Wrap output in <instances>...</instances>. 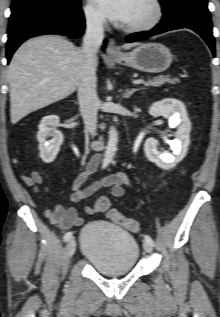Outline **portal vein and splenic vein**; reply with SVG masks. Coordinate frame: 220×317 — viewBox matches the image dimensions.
Here are the masks:
<instances>
[{
    "instance_id": "obj_1",
    "label": "portal vein and splenic vein",
    "mask_w": 220,
    "mask_h": 317,
    "mask_svg": "<svg viewBox=\"0 0 220 317\" xmlns=\"http://www.w3.org/2000/svg\"><path fill=\"white\" fill-rule=\"evenodd\" d=\"M142 83H144V80H141V79H137L133 81V84L135 85L142 84Z\"/></svg>"
}]
</instances>
